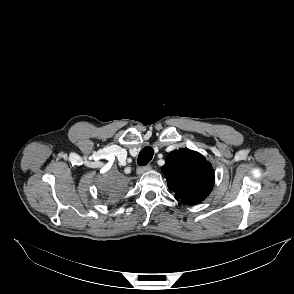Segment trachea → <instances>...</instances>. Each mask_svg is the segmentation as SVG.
Listing matches in <instances>:
<instances>
[{"instance_id":"trachea-1","label":"trachea","mask_w":294,"mask_h":294,"mask_svg":"<svg viewBox=\"0 0 294 294\" xmlns=\"http://www.w3.org/2000/svg\"><path fill=\"white\" fill-rule=\"evenodd\" d=\"M153 153H154V150H153L152 147H150V146L144 147L141 150V152L139 153V156H138V165L144 166L148 162H150V160L153 157Z\"/></svg>"}]
</instances>
